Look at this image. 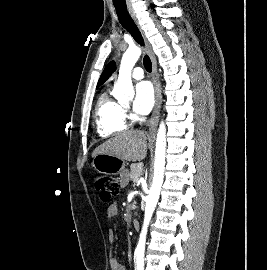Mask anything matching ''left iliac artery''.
<instances>
[{
  "instance_id": "44dca946",
  "label": "left iliac artery",
  "mask_w": 267,
  "mask_h": 270,
  "mask_svg": "<svg viewBox=\"0 0 267 270\" xmlns=\"http://www.w3.org/2000/svg\"><path fill=\"white\" fill-rule=\"evenodd\" d=\"M137 270H144V266L143 265H138Z\"/></svg>"
}]
</instances>
